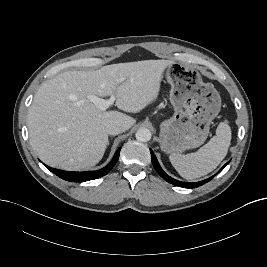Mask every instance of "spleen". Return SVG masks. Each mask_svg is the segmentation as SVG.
Returning <instances> with one entry per match:
<instances>
[{"label": "spleen", "mask_w": 267, "mask_h": 267, "mask_svg": "<svg viewBox=\"0 0 267 267\" xmlns=\"http://www.w3.org/2000/svg\"><path fill=\"white\" fill-rule=\"evenodd\" d=\"M231 142V129L227 121L221 122L216 135L195 153L171 154L170 162L185 179L193 180L212 172L225 158Z\"/></svg>", "instance_id": "obj_1"}]
</instances>
